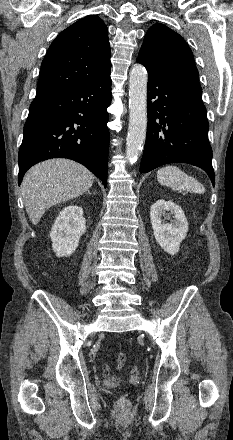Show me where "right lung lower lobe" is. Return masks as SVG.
Listing matches in <instances>:
<instances>
[{"label":"right lung lower lobe","instance_id":"obj_1","mask_svg":"<svg viewBox=\"0 0 233 440\" xmlns=\"http://www.w3.org/2000/svg\"><path fill=\"white\" fill-rule=\"evenodd\" d=\"M111 99L110 73L88 84L37 93L24 126L18 155V184L34 164L63 157L83 164L106 187L107 107Z\"/></svg>","mask_w":233,"mask_h":440}]
</instances>
